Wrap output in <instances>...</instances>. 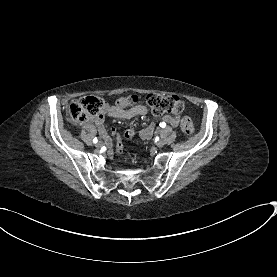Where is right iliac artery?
Segmentation results:
<instances>
[{"label": "right iliac artery", "instance_id": "1", "mask_svg": "<svg viewBox=\"0 0 277 277\" xmlns=\"http://www.w3.org/2000/svg\"><path fill=\"white\" fill-rule=\"evenodd\" d=\"M93 142H94V143H97V142H98V139H97V138H94V139H93Z\"/></svg>", "mask_w": 277, "mask_h": 277}]
</instances>
